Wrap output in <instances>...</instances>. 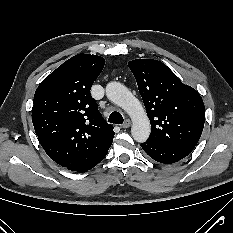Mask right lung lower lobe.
I'll use <instances>...</instances> for the list:
<instances>
[{
    "label": "right lung lower lobe",
    "instance_id": "right-lung-lower-lobe-1",
    "mask_svg": "<svg viewBox=\"0 0 233 233\" xmlns=\"http://www.w3.org/2000/svg\"><path fill=\"white\" fill-rule=\"evenodd\" d=\"M105 156H106V155H105ZM105 156H104V157H105ZM104 157H103V158H104ZM103 158L99 159V160L96 161L93 165H91L90 167H88L87 169H85V170H83V171H81V172L90 170L91 168H93L94 166H96Z\"/></svg>",
    "mask_w": 233,
    "mask_h": 233
}]
</instances>
